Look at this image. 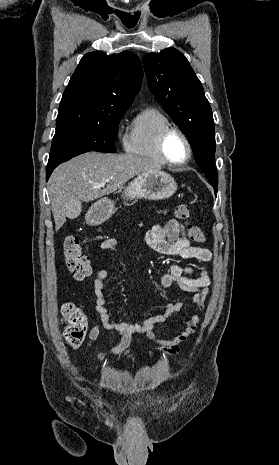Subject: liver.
<instances>
[{
    "mask_svg": "<svg viewBox=\"0 0 279 465\" xmlns=\"http://www.w3.org/2000/svg\"><path fill=\"white\" fill-rule=\"evenodd\" d=\"M154 171L158 170L150 161L132 154L88 152L59 165L48 181L56 231L66 221L68 202L96 200L121 189L131 178ZM106 180V187H99Z\"/></svg>",
    "mask_w": 279,
    "mask_h": 465,
    "instance_id": "liver-1",
    "label": "liver"
}]
</instances>
